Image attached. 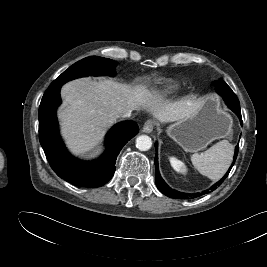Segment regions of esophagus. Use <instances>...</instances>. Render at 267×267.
Wrapping results in <instances>:
<instances>
[{"label":"esophagus","mask_w":267,"mask_h":267,"mask_svg":"<svg viewBox=\"0 0 267 267\" xmlns=\"http://www.w3.org/2000/svg\"><path fill=\"white\" fill-rule=\"evenodd\" d=\"M154 127H155V123H154V121H152V120H148V121H146L145 124L143 125L142 131H143L144 133H151V132L153 131Z\"/></svg>","instance_id":"esophagus-1"}]
</instances>
